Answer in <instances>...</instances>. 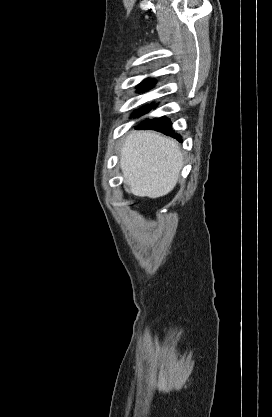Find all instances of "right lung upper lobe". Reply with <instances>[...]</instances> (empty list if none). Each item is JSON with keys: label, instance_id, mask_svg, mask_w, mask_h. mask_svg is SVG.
Returning <instances> with one entry per match:
<instances>
[{"label": "right lung upper lobe", "instance_id": "right-lung-upper-lobe-1", "mask_svg": "<svg viewBox=\"0 0 272 417\" xmlns=\"http://www.w3.org/2000/svg\"><path fill=\"white\" fill-rule=\"evenodd\" d=\"M155 83L156 82L153 79H145L138 85V87L141 88L139 91H146L148 89H151L155 85Z\"/></svg>", "mask_w": 272, "mask_h": 417}]
</instances>
